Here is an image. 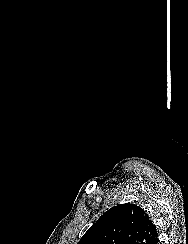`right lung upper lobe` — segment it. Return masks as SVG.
Wrapping results in <instances>:
<instances>
[{"label": "right lung upper lobe", "mask_w": 188, "mask_h": 244, "mask_svg": "<svg viewBox=\"0 0 188 244\" xmlns=\"http://www.w3.org/2000/svg\"><path fill=\"white\" fill-rule=\"evenodd\" d=\"M157 229L142 208L121 204L105 212L77 244H150Z\"/></svg>", "instance_id": "obj_1"}]
</instances>
